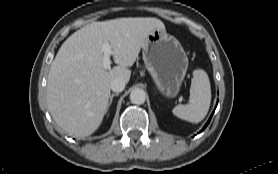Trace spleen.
I'll list each match as a JSON object with an SVG mask.
<instances>
[{"instance_id": "obj_1", "label": "spleen", "mask_w": 278, "mask_h": 174, "mask_svg": "<svg viewBox=\"0 0 278 174\" xmlns=\"http://www.w3.org/2000/svg\"><path fill=\"white\" fill-rule=\"evenodd\" d=\"M210 103L211 87L209 77L204 70L197 69L193 72L189 103L175 106L172 112L180 119L199 123L207 115Z\"/></svg>"}]
</instances>
